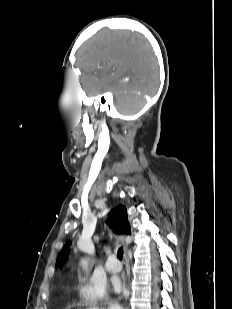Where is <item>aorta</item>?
<instances>
[{"instance_id":"aorta-1","label":"aorta","mask_w":232,"mask_h":309,"mask_svg":"<svg viewBox=\"0 0 232 309\" xmlns=\"http://www.w3.org/2000/svg\"><path fill=\"white\" fill-rule=\"evenodd\" d=\"M82 264H83L84 266H86V265L88 264V259H83V260H82Z\"/></svg>"}]
</instances>
